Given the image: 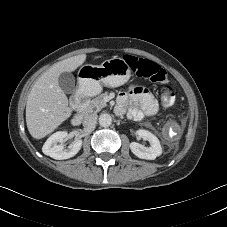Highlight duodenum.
Segmentation results:
<instances>
[{
  "mask_svg": "<svg viewBox=\"0 0 227 227\" xmlns=\"http://www.w3.org/2000/svg\"><path fill=\"white\" fill-rule=\"evenodd\" d=\"M72 105L76 109V112L71 118V123L74 126H79L84 118L87 108V98L83 91L74 94Z\"/></svg>",
  "mask_w": 227,
  "mask_h": 227,
  "instance_id": "410a0bca",
  "label": "duodenum"
}]
</instances>
